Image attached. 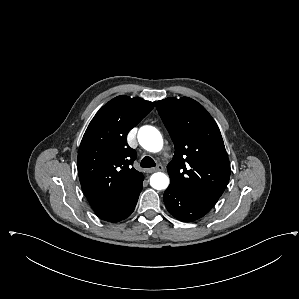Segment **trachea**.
<instances>
[{"instance_id": "trachea-1", "label": "trachea", "mask_w": 299, "mask_h": 299, "mask_svg": "<svg viewBox=\"0 0 299 299\" xmlns=\"http://www.w3.org/2000/svg\"><path fill=\"white\" fill-rule=\"evenodd\" d=\"M141 167L143 168H150V167H155L156 163L155 161L149 157V156H145L142 161H141Z\"/></svg>"}]
</instances>
